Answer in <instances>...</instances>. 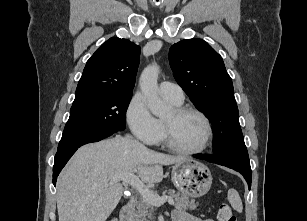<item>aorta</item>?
<instances>
[{"mask_svg": "<svg viewBox=\"0 0 307 221\" xmlns=\"http://www.w3.org/2000/svg\"><path fill=\"white\" fill-rule=\"evenodd\" d=\"M158 75L159 67L156 64L147 66L141 73L139 85L152 114L162 116L168 112L169 107L159 97Z\"/></svg>", "mask_w": 307, "mask_h": 221, "instance_id": "1", "label": "aorta"}]
</instances>
